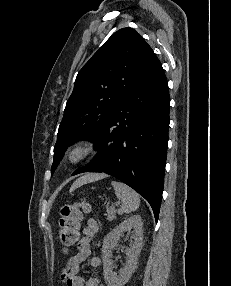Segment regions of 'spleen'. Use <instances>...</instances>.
I'll return each mask as SVG.
<instances>
[{
	"label": "spleen",
	"instance_id": "1",
	"mask_svg": "<svg viewBox=\"0 0 231 286\" xmlns=\"http://www.w3.org/2000/svg\"><path fill=\"white\" fill-rule=\"evenodd\" d=\"M115 195L122 201L121 213H131L140 206V196L132 188L119 181H112Z\"/></svg>",
	"mask_w": 231,
	"mask_h": 286
}]
</instances>
